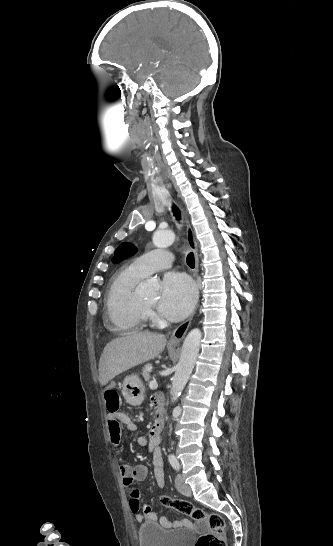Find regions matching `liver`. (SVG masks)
Masks as SVG:
<instances>
[{
  "instance_id": "obj_1",
  "label": "liver",
  "mask_w": 333,
  "mask_h": 546,
  "mask_svg": "<svg viewBox=\"0 0 333 546\" xmlns=\"http://www.w3.org/2000/svg\"><path fill=\"white\" fill-rule=\"evenodd\" d=\"M164 335L128 333L108 343L99 361V381L106 385L118 374L156 358L165 348Z\"/></svg>"
}]
</instances>
